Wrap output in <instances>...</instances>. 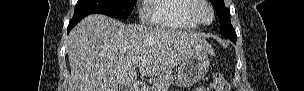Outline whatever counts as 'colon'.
Returning a JSON list of instances; mask_svg holds the SVG:
<instances>
[{
  "label": "colon",
  "mask_w": 304,
  "mask_h": 91,
  "mask_svg": "<svg viewBox=\"0 0 304 91\" xmlns=\"http://www.w3.org/2000/svg\"><path fill=\"white\" fill-rule=\"evenodd\" d=\"M212 91H229L230 87L228 82L222 75H214L210 86Z\"/></svg>",
  "instance_id": "colon-1"
}]
</instances>
